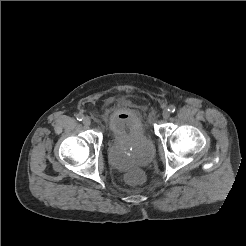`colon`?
Returning a JSON list of instances; mask_svg holds the SVG:
<instances>
[{"mask_svg":"<svg viewBox=\"0 0 246 246\" xmlns=\"http://www.w3.org/2000/svg\"><path fill=\"white\" fill-rule=\"evenodd\" d=\"M126 179L131 184H139L143 182L144 175L140 170H132L127 173Z\"/></svg>","mask_w":246,"mask_h":246,"instance_id":"1","label":"colon"}]
</instances>
